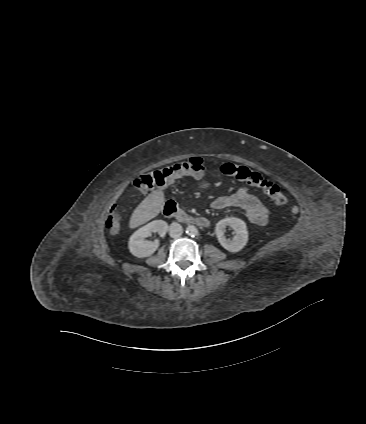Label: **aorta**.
<instances>
[{
	"label": "aorta",
	"instance_id": "1",
	"mask_svg": "<svg viewBox=\"0 0 366 424\" xmlns=\"http://www.w3.org/2000/svg\"><path fill=\"white\" fill-rule=\"evenodd\" d=\"M186 233L192 237L196 236L198 234V229L193 226V225H189L186 229Z\"/></svg>",
	"mask_w": 366,
	"mask_h": 424
}]
</instances>
